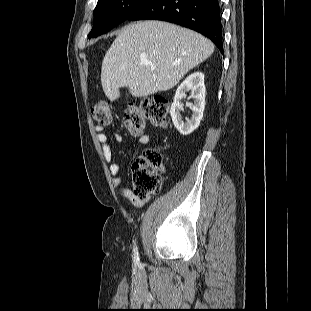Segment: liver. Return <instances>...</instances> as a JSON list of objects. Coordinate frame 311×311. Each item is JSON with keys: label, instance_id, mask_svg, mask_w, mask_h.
Here are the masks:
<instances>
[{"label": "liver", "instance_id": "liver-1", "mask_svg": "<svg viewBox=\"0 0 311 311\" xmlns=\"http://www.w3.org/2000/svg\"><path fill=\"white\" fill-rule=\"evenodd\" d=\"M214 52L203 35L162 21H140L122 29L105 54L101 84L110 101L129 88L133 97L167 91ZM147 59L152 69L141 62Z\"/></svg>", "mask_w": 311, "mask_h": 311}]
</instances>
